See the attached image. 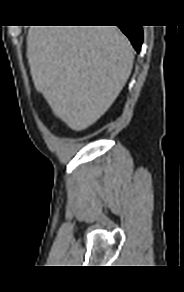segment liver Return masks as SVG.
Wrapping results in <instances>:
<instances>
[{
    "label": "liver",
    "mask_w": 184,
    "mask_h": 292,
    "mask_svg": "<svg viewBox=\"0 0 184 292\" xmlns=\"http://www.w3.org/2000/svg\"><path fill=\"white\" fill-rule=\"evenodd\" d=\"M27 58L36 90L75 131L110 108L134 62L130 42L116 26H32Z\"/></svg>",
    "instance_id": "obj_1"
}]
</instances>
